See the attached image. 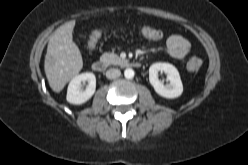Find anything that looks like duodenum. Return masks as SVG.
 <instances>
[{"mask_svg":"<svg viewBox=\"0 0 248 165\" xmlns=\"http://www.w3.org/2000/svg\"><path fill=\"white\" fill-rule=\"evenodd\" d=\"M130 66L138 68L140 67V62L138 61H132L129 63ZM92 69L97 72V73H103L106 68H107V64L106 62L102 61V60H96L92 63Z\"/></svg>","mask_w":248,"mask_h":165,"instance_id":"410a0bca","label":"duodenum"}]
</instances>
